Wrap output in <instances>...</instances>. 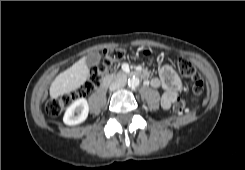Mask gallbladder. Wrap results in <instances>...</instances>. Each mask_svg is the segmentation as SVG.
Instances as JSON below:
<instances>
[{"instance_id":"1","label":"gallbladder","mask_w":245,"mask_h":170,"mask_svg":"<svg viewBox=\"0 0 245 170\" xmlns=\"http://www.w3.org/2000/svg\"><path fill=\"white\" fill-rule=\"evenodd\" d=\"M100 61V54L98 52H91L86 56V64L88 66L97 65Z\"/></svg>"}]
</instances>
